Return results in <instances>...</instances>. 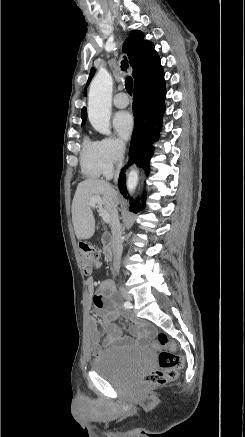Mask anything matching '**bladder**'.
Masks as SVG:
<instances>
[{"label": "bladder", "mask_w": 245, "mask_h": 437, "mask_svg": "<svg viewBox=\"0 0 245 437\" xmlns=\"http://www.w3.org/2000/svg\"><path fill=\"white\" fill-rule=\"evenodd\" d=\"M153 360V351L150 348H113L95 357L91 362V368L110 383L125 385L138 374L148 370Z\"/></svg>", "instance_id": "1"}]
</instances>
